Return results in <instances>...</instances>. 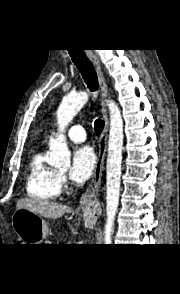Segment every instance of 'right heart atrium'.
Listing matches in <instances>:
<instances>
[{
  "label": "right heart atrium",
  "mask_w": 180,
  "mask_h": 294,
  "mask_svg": "<svg viewBox=\"0 0 180 294\" xmlns=\"http://www.w3.org/2000/svg\"><path fill=\"white\" fill-rule=\"evenodd\" d=\"M58 182L60 187L64 186L66 184V178L62 174H58Z\"/></svg>",
  "instance_id": "obj_1"
}]
</instances>
